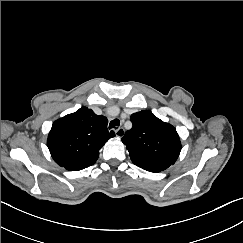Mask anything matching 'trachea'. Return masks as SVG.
<instances>
[{"label":"trachea","instance_id":"obj_1","mask_svg":"<svg viewBox=\"0 0 243 243\" xmlns=\"http://www.w3.org/2000/svg\"><path fill=\"white\" fill-rule=\"evenodd\" d=\"M120 125V121H119V119H114V120H112L111 122H110V124H109V129H111V128H116L117 126H119Z\"/></svg>","mask_w":243,"mask_h":243}]
</instances>
